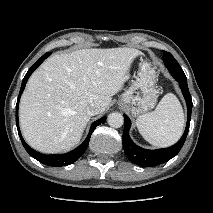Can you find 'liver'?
Returning <instances> with one entry per match:
<instances>
[{
  "instance_id": "liver-1",
  "label": "liver",
  "mask_w": 213,
  "mask_h": 213,
  "mask_svg": "<svg viewBox=\"0 0 213 213\" xmlns=\"http://www.w3.org/2000/svg\"><path fill=\"white\" fill-rule=\"evenodd\" d=\"M133 48L82 49L48 58L29 78L19 105L22 135L35 150L69 151L80 141L90 120L86 108L101 112L126 80Z\"/></svg>"
}]
</instances>
